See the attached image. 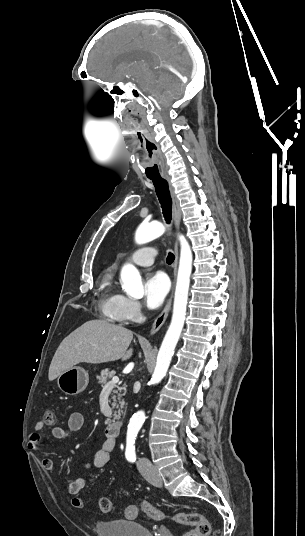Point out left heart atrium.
I'll return each mask as SVG.
<instances>
[{
  "mask_svg": "<svg viewBox=\"0 0 305 536\" xmlns=\"http://www.w3.org/2000/svg\"><path fill=\"white\" fill-rule=\"evenodd\" d=\"M168 280L163 273H152L145 278V302L151 309L158 308L168 292Z\"/></svg>",
  "mask_w": 305,
  "mask_h": 536,
  "instance_id": "obj_1",
  "label": "left heart atrium"
}]
</instances>
